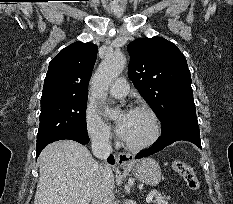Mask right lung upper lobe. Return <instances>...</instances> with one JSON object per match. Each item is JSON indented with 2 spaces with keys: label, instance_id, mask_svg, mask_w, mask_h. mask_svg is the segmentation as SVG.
I'll list each match as a JSON object with an SVG mask.
<instances>
[{
  "label": "right lung upper lobe",
  "instance_id": "obj_1",
  "mask_svg": "<svg viewBox=\"0 0 233 204\" xmlns=\"http://www.w3.org/2000/svg\"><path fill=\"white\" fill-rule=\"evenodd\" d=\"M98 47L75 42L62 49L50 61L44 80L42 101L87 98L88 82L96 61Z\"/></svg>",
  "mask_w": 233,
  "mask_h": 204
}]
</instances>
